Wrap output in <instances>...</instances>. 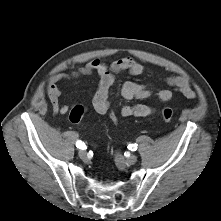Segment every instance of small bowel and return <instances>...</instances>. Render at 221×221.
<instances>
[{"instance_id": "1", "label": "small bowel", "mask_w": 221, "mask_h": 221, "mask_svg": "<svg viewBox=\"0 0 221 221\" xmlns=\"http://www.w3.org/2000/svg\"><path fill=\"white\" fill-rule=\"evenodd\" d=\"M126 71L131 76H138L144 72V66L132 57H124L108 65L98 58L89 61L78 70L65 74H55L51 77L46 87L47 96L51 102L54 114L66 115L69 107L60 103L61 90L57 83L61 81H73L81 77L95 74L98 79V86L93 97V107L99 114H109L106 106L110 103V89L115 81V75ZM166 84L171 89H162L157 96L161 103H168L173 97V93L179 92L186 98H194L195 93L189 82L184 77H170L166 79ZM121 95L126 99H145L151 95V91L145 84L136 82H125L121 86ZM155 112V108L145 104L126 105L121 107L120 114L124 117H147Z\"/></svg>"}]
</instances>
